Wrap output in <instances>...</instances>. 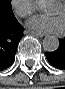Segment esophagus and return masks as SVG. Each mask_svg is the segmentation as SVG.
<instances>
[{
	"label": "esophagus",
	"mask_w": 65,
	"mask_h": 89,
	"mask_svg": "<svg viewBox=\"0 0 65 89\" xmlns=\"http://www.w3.org/2000/svg\"><path fill=\"white\" fill-rule=\"evenodd\" d=\"M28 33H31V34H33L35 36H38V37H43L44 36V34L36 33V32H33V31H28Z\"/></svg>",
	"instance_id": "1"
}]
</instances>
